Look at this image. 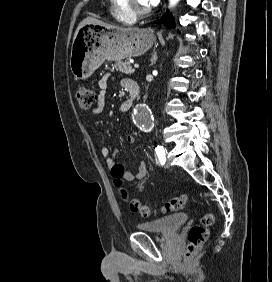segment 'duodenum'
<instances>
[{
  "mask_svg": "<svg viewBox=\"0 0 272 282\" xmlns=\"http://www.w3.org/2000/svg\"><path fill=\"white\" fill-rule=\"evenodd\" d=\"M123 82L128 92V99L121 104V108L127 110L133 105L134 101L138 97L140 88L136 80L125 79Z\"/></svg>",
  "mask_w": 272,
  "mask_h": 282,
  "instance_id": "1",
  "label": "duodenum"
}]
</instances>
